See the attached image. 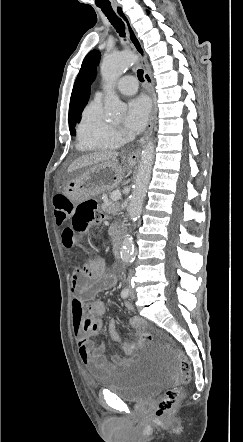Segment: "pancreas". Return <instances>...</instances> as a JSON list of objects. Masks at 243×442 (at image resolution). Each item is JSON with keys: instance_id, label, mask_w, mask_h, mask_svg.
Returning a JSON list of instances; mask_svg holds the SVG:
<instances>
[{"instance_id": "pancreas-1", "label": "pancreas", "mask_w": 243, "mask_h": 442, "mask_svg": "<svg viewBox=\"0 0 243 442\" xmlns=\"http://www.w3.org/2000/svg\"><path fill=\"white\" fill-rule=\"evenodd\" d=\"M101 208L106 213L115 215V214H117V212L120 211V203L119 202H110L105 199L101 205Z\"/></svg>"}]
</instances>
